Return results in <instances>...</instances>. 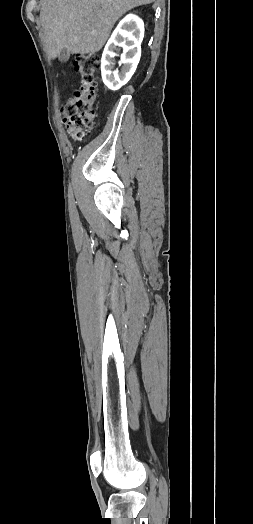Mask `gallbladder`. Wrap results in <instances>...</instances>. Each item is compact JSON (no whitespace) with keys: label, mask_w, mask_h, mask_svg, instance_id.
I'll return each instance as SVG.
<instances>
[{"label":"gallbladder","mask_w":253,"mask_h":524,"mask_svg":"<svg viewBox=\"0 0 253 524\" xmlns=\"http://www.w3.org/2000/svg\"><path fill=\"white\" fill-rule=\"evenodd\" d=\"M69 57H70V53L68 52L67 49L64 48L61 50L60 54L58 55V60L62 63H65L68 61Z\"/></svg>","instance_id":"gallbladder-1"}]
</instances>
